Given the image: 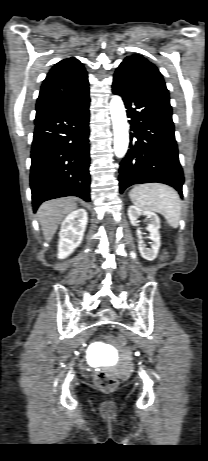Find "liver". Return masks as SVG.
<instances>
[{
	"label": "liver",
	"instance_id": "6515ba94",
	"mask_svg": "<svg viewBox=\"0 0 208 461\" xmlns=\"http://www.w3.org/2000/svg\"><path fill=\"white\" fill-rule=\"evenodd\" d=\"M76 208L75 199L71 197L50 200L39 207L37 216L47 242L51 241L63 218Z\"/></svg>",
	"mask_w": 208,
	"mask_h": 461
}]
</instances>
